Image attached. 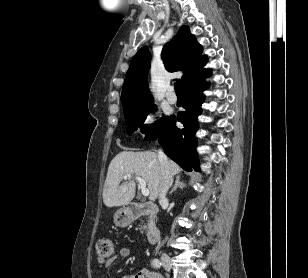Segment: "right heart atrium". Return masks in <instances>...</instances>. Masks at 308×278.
<instances>
[{
	"label": "right heart atrium",
	"mask_w": 308,
	"mask_h": 278,
	"mask_svg": "<svg viewBox=\"0 0 308 278\" xmlns=\"http://www.w3.org/2000/svg\"><path fill=\"white\" fill-rule=\"evenodd\" d=\"M157 122V111L152 108L148 107L141 118L140 127L144 130L152 129Z\"/></svg>",
	"instance_id": "obj_1"
}]
</instances>
